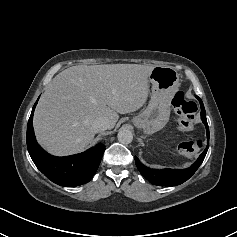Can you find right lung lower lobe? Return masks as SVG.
<instances>
[{
    "label": "right lung lower lobe",
    "instance_id": "right-lung-lower-lobe-1",
    "mask_svg": "<svg viewBox=\"0 0 237 237\" xmlns=\"http://www.w3.org/2000/svg\"><path fill=\"white\" fill-rule=\"evenodd\" d=\"M37 101L27 125V148L34 164L48 179L61 186L75 187L89 182L98 169L105 146L99 144L86 152L66 157L48 154L38 145L34 135L32 121Z\"/></svg>",
    "mask_w": 237,
    "mask_h": 237
}]
</instances>
